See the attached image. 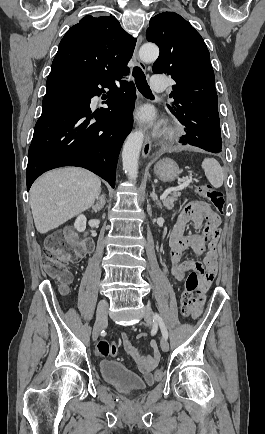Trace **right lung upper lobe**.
Listing matches in <instances>:
<instances>
[{
    "label": "right lung upper lobe",
    "instance_id": "obj_1",
    "mask_svg": "<svg viewBox=\"0 0 265 434\" xmlns=\"http://www.w3.org/2000/svg\"><path fill=\"white\" fill-rule=\"evenodd\" d=\"M136 38L125 32L112 16L83 17L59 44L51 71L103 74L127 66Z\"/></svg>",
    "mask_w": 265,
    "mask_h": 434
}]
</instances>
